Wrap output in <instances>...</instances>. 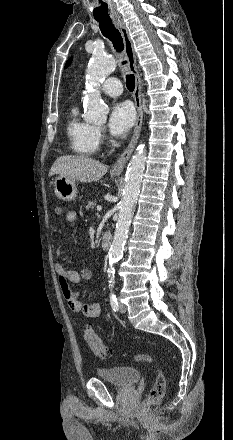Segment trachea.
Instances as JSON below:
<instances>
[{
	"label": "trachea",
	"mask_w": 233,
	"mask_h": 440,
	"mask_svg": "<svg viewBox=\"0 0 233 440\" xmlns=\"http://www.w3.org/2000/svg\"><path fill=\"white\" fill-rule=\"evenodd\" d=\"M99 23L100 30L102 34L108 38L112 43L117 52H121L123 50V39L118 29L112 23V20L109 19H96ZM126 62H123L125 64ZM126 86L129 91H133L135 88V76L133 74L126 76Z\"/></svg>",
	"instance_id": "obj_1"
}]
</instances>
